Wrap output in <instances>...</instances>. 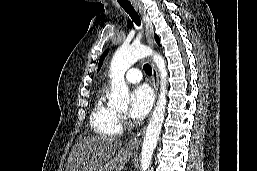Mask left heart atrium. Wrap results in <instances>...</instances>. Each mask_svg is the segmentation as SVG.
I'll use <instances>...</instances> for the list:
<instances>
[{
	"instance_id": "39dd6f15",
	"label": "left heart atrium",
	"mask_w": 257,
	"mask_h": 171,
	"mask_svg": "<svg viewBox=\"0 0 257 171\" xmlns=\"http://www.w3.org/2000/svg\"><path fill=\"white\" fill-rule=\"evenodd\" d=\"M153 95L147 86H139L131 93L129 116L134 120L143 119L150 111Z\"/></svg>"
}]
</instances>
